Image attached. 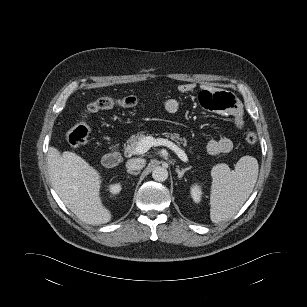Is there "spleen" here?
Returning a JSON list of instances; mask_svg holds the SVG:
<instances>
[{"instance_id": "3e777b00", "label": "spleen", "mask_w": 307, "mask_h": 307, "mask_svg": "<svg viewBox=\"0 0 307 307\" xmlns=\"http://www.w3.org/2000/svg\"><path fill=\"white\" fill-rule=\"evenodd\" d=\"M259 172L256 158L243 156L230 170L218 164L211 171L210 219L219 223L234 216L253 191Z\"/></svg>"}]
</instances>
